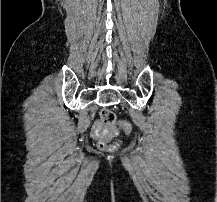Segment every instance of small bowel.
<instances>
[{
	"label": "small bowel",
	"instance_id": "1",
	"mask_svg": "<svg viewBox=\"0 0 217 202\" xmlns=\"http://www.w3.org/2000/svg\"><path fill=\"white\" fill-rule=\"evenodd\" d=\"M109 135V127L102 121V119H96L91 127V138L100 141L101 139L107 138Z\"/></svg>",
	"mask_w": 217,
	"mask_h": 202
}]
</instances>
